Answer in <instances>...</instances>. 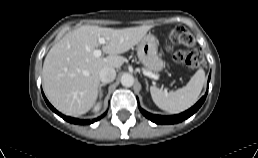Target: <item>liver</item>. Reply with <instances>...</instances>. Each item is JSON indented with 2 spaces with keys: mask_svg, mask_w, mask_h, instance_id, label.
I'll use <instances>...</instances> for the list:
<instances>
[{
  "mask_svg": "<svg viewBox=\"0 0 258 158\" xmlns=\"http://www.w3.org/2000/svg\"><path fill=\"white\" fill-rule=\"evenodd\" d=\"M150 26L123 29L81 26L68 32L48 52L43 64V86L51 104L60 112L80 116L95 104L100 86L99 72L104 67L119 69L126 59L119 54L137 45ZM106 43L105 58L93 51Z\"/></svg>",
  "mask_w": 258,
  "mask_h": 158,
  "instance_id": "liver-1",
  "label": "liver"
}]
</instances>
